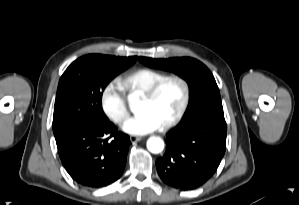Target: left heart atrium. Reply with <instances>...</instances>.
<instances>
[{
  "label": "left heart atrium",
  "mask_w": 299,
  "mask_h": 205,
  "mask_svg": "<svg viewBox=\"0 0 299 205\" xmlns=\"http://www.w3.org/2000/svg\"><path fill=\"white\" fill-rule=\"evenodd\" d=\"M161 127L159 121L147 112L138 113L127 120L123 130L132 135H146Z\"/></svg>",
  "instance_id": "left-heart-atrium-1"
}]
</instances>
